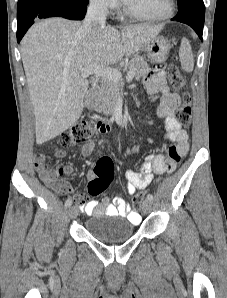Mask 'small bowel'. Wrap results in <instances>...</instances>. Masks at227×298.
<instances>
[{
  "instance_id": "c3829d8e",
  "label": "small bowel",
  "mask_w": 227,
  "mask_h": 298,
  "mask_svg": "<svg viewBox=\"0 0 227 298\" xmlns=\"http://www.w3.org/2000/svg\"><path fill=\"white\" fill-rule=\"evenodd\" d=\"M172 68V63H156V69L150 72L144 79V86L149 95L156 94L162 96L156 109V114L164 122L165 138L174 143L168 151V155L149 154L145 157L140 172L127 170L125 178L127 181V190L133 194L136 190L145 189L152 181L154 175H162L165 172H171L179 166V161L187 154L189 150L188 133L177 121L175 113L181 105L180 96L170 92L164 85V69ZM95 149L94 142L90 141L80 147V153L83 157H88ZM57 158H63L67 155L64 149L57 150L54 154ZM34 166L41 178L50 184L57 192L69 195L80 204V209L88 216H98L106 214L107 216L125 217L131 222H139L140 215L132 211L130 206L121 198L115 197L110 203L108 199L101 202L97 200L86 201L85 196L74 191L71 185L62 179L64 175L73 173L72 165H65L55 170H50L46 164V156L37 153L33 157ZM88 178L93 176L92 171H88Z\"/></svg>"
}]
</instances>
